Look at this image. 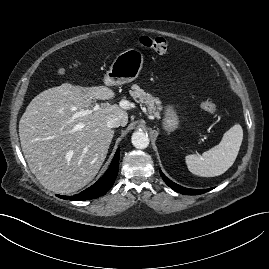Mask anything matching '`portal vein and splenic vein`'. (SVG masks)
<instances>
[{"instance_id": "18ae733b", "label": "portal vein and splenic vein", "mask_w": 269, "mask_h": 269, "mask_svg": "<svg viewBox=\"0 0 269 269\" xmlns=\"http://www.w3.org/2000/svg\"><path fill=\"white\" fill-rule=\"evenodd\" d=\"M100 109V105L99 104H96L92 110H82V111H79L77 112L74 117H80V116H84V115H87V114H90L92 113L93 111H96Z\"/></svg>"}]
</instances>
